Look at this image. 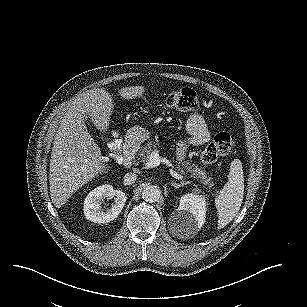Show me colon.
Returning <instances> with one entry per match:
<instances>
[{
	"instance_id": "colon-1",
	"label": "colon",
	"mask_w": 307,
	"mask_h": 307,
	"mask_svg": "<svg viewBox=\"0 0 307 307\" xmlns=\"http://www.w3.org/2000/svg\"><path fill=\"white\" fill-rule=\"evenodd\" d=\"M169 107L183 112H195L199 109L200 103L196 92L191 88H176L170 92L166 99ZM236 138L227 133H218L214 139L202 150L200 158L205 164H211L217 159L229 155L235 148ZM120 144L117 139L111 141L109 158L119 157Z\"/></svg>"
}]
</instances>
